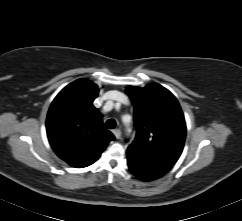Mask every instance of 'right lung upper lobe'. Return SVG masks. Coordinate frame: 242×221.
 I'll return each instance as SVG.
<instances>
[{"label":"right lung upper lobe","mask_w":242,"mask_h":221,"mask_svg":"<svg viewBox=\"0 0 242 221\" xmlns=\"http://www.w3.org/2000/svg\"><path fill=\"white\" fill-rule=\"evenodd\" d=\"M98 93L96 84L78 79L60 91L47 115L46 129L52 148L76 168L94 163L115 138L92 104Z\"/></svg>","instance_id":"cb5924a9"}]
</instances>
